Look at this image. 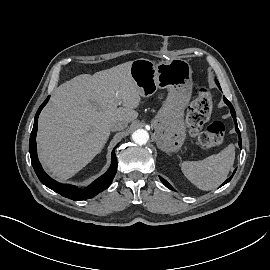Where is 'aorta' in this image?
<instances>
[{"label":"aorta","instance_id":"762f6f07","mask_svg":"<svg viewBox=\"0 0 270 270\" xmlns=\"http://www.w3.org/2000/svg\"><path fill=\"white\" fill-rule=\"evenodd\" d=\"M133 141L138 145H144L149 140V134L144 129H138L132 134Z\"/></svg>","mask_w":270,"mask_h":270}]
</instances>
